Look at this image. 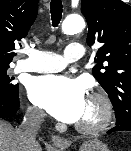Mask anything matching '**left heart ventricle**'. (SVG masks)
<instances>
[{
  "mask_svg": "<svg viewBox=\"0 0 131 151\" xmlns=\"http://www.w3.org/2000/svg\"><path fill=\"white\" fill-rule=\"evenodd\" d=\"M99 117V107L95 102L86 100L85 109L78 122H94Z\"/></svg>",
  "mask_w": 131,
  "mask_h": 151,
  "instance_id": "1",
  "label": "left heart ventricle"
}]
</instances>
